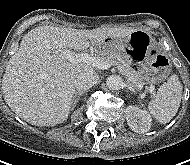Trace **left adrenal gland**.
Returning <instances> with one entry per match:
<instances>
[{
    "mask_svg": "<svg viewBox=\"0 0 190 165\" xmlns=\"http://www.w3.org/2000/svg\"><path fill=\"white\" fill-rule=\"evenodd\" d=\"M128 84L130 85V86H132L133 87V85L130 83V82H128ZM131 88V87H130Z\"/></svg>",
    "mask_w": 190,
    "mask_h": 165,
    "instance_id": "a2214340",
    "label": "left adrenal gland"
}]
</instances>
